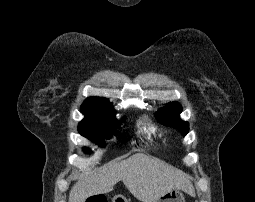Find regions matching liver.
<instances>
[{
    "mask_svg": "<svg viewBox=\"0 0 255 202\" xmlns=\"http://www.w3.org/2000/svg\"><path fill=\"white\" fill-rule=\"evenodd\" d=\"M119 181L142 202H154L172 188L194 192L189 175L158 159L135 154L79 180L70 190L69 202H85L90 196L109 193Z\"/></svg>",
    "mask_w": 255,
    "mask_h": 202,
    "instance_id": "1",
    "label": "liver"
}]
</instances>
